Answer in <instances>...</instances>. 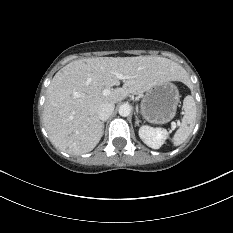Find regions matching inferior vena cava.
I'll return each instance as SVG.
<instances>
[{"label":"inferior vena cava","instance_id":"1","mask_svg":"<svg viewBox=\"0 0 233 233\" xmlns=\"http://www.w3.org/2000/svg\"><path fill=\"white\" fill-rule=\"evenodd\" d=\"M114 104L105 103L98 108V118L102 121H106L114 111Z\"/></svg>","mask_w":233,"mask_h":233}]
</instances>
